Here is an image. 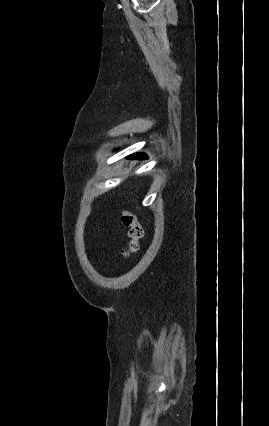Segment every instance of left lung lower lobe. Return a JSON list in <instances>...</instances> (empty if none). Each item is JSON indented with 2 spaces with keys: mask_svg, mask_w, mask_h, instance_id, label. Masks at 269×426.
I'll list each match as a JSON object with an SVG mask.
<instances>
[{
  "mask_svg": "<svg viewBox=\"0 0 269 426\" xmlns=\"http://www.w3.org/2000/svg\"><path fill=\"white\" fill-rule=\"evenodd\" d=\"M127 158L128 159H146L147 156L145 154H143V153H137V154L130 155Z\"/></svg>",
  "mask_w": 269,
  "mask_h": 426,
  "instance_id": "1",
  "label": "left lung lower lobe"
}]
</instances>
